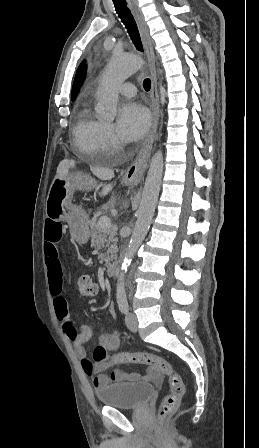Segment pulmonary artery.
Masks as SVG:
<instances>
[{
	"mask_svg": "<svg viewBox=\"0 0 259 448\" xmlns=\"http://www.w3.org/2000/svg\"><path fill=\"white\" fill-rule=\"evenodd\" d=\"M139 58L140 57L138 54L130 53V54L124 55L123 59L116 63V67H117L118 73L120 75L121 81L125 80L127 77H129L131 74H133L135 71H137ZM116 91H117V93L127 95V96L135 95L134 88L117 86Z\"/></svg>",
	"mask_w": 259,
	"mask_h": 448,
	"instance_id": "1",
	"label": "pulmonary artery"
}]
</instances>
